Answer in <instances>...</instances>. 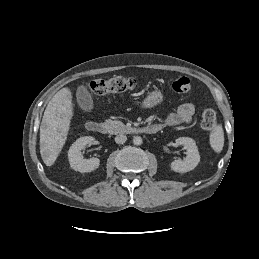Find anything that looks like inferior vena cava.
I'll return each instance as SVG.
<instances>
[{
	"mask_svg": "<svg viewBox=\"0 0 259 259\" xmlns=\"http://www.w3.org/2000/svg\"><path fill=\"white\" fill-rule=\"evenodd\" d=\"M126 140H127V137H126V135H124V134H119V135H117V136L115 137V142H116L117 144H123V143L126 142Z\"/></svg>",
	"mask_w": 259,
	"mask_h": 259,
	"instance_id": "1",
	"label": "inferior vena cava"
}]
</instances>
